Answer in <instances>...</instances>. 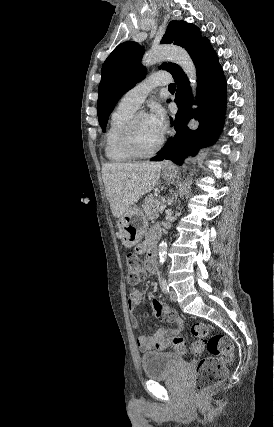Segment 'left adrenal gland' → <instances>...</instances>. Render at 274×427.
<instances>
[{"instance_id":"obj_1","label":"left adrenal gland","mask_w":274,"mask_h":427,"mask_svg":"<svg viewBox=\"0 0 274 427\" xmlns=\"http://www.w3.org/2000/svg\"><path fill=\"white\" fill-rule=\"evenodd\" d=\"M172 204H174V198H171V200L169 202V206H172Z\"/></svg>"}]
</instances>
